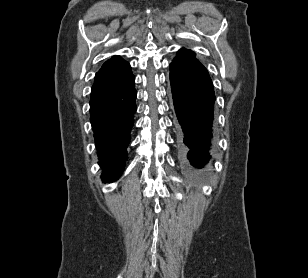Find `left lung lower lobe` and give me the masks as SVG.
Returning <instances> with one entry per match:
<instances>
[{
	"label": "left lung lower lobe",
	"mask_w": 308,
	"mask_h": 278,
	"mask_svg": "<svg viewBox=\"0 0 308 278\" xmlns=\"http://www.w3.org/2000/svg\"><path fill=\"white\" fill-rule=\"evenodd\" d=\"M170 83L181 148L191 165L203 168L210 159L215 94L206 68L197 60L172 62Z\"/></svg>",
	"instance_id": "1"
}]
</instances>
